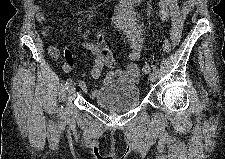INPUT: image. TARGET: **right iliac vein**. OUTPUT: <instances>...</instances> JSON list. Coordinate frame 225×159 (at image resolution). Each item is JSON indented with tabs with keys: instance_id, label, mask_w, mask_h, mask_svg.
<instances>
[{
	"instance_id": "1",
	"label": "right iliac vein",
	"mask_w": 225,
	"mask_h": 159,
	"mask_svg": "<svg viewBox=\"0 0 225 159\" xmlns=\"http://www.w3.org/2000/svg\"><path fill=\"white\" fill-rule=\"evenodd\" d=\"M74 93H75V86H74V84H71L68 87V94H69V96H72Z\"/></svg>"
}]
</instances>
